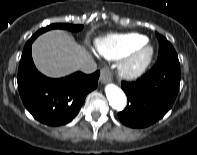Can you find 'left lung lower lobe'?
Here are the masks:
<instances>
[{
    "instance_id": "1",
    "label": "left lung lower lobe",
    "mask_w": 197,
    "mask_h": 155,
    "mask_svg": "<svg viewBox=\"0 0 197 155\" xmlns=\"http://www.w3.org/2000/svg\"><path fill=\"white\" fill-rule=\"evenodd\" d=\"M179 60L161 59L133 82H122L128 105L118 113L121 122L132 128H143L160 120L172 107L179 91Z\"/></svg>"
}]
</instances>
